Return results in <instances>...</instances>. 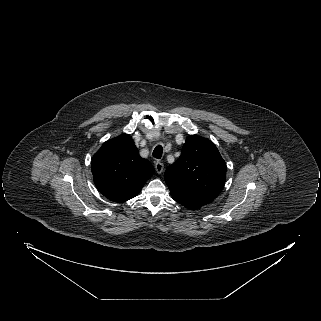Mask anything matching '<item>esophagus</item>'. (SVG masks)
I'll use <instances>...</instances> for the list:
<instances>
[{
    "label": "esophagus",
    "instance_id": "34e87169",
    "mask_svg": "<svg viewBox=\"0 0 321 321\" xmlns=\"http://www.w3.org/2000/svg\"><path fill=\"white\" fill-rule=\"evenodd\" d=\"M155 170H156V172H157L158 174H161V173L163 172V170H164V165H163V163L157 161V162L155 163Z\"/></svg>",
    "mask_w": 321,
    "mask_h": 321
}]
</instances>
